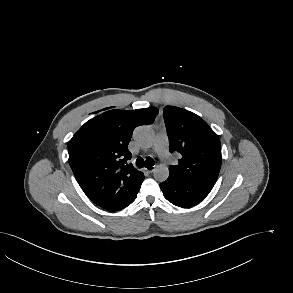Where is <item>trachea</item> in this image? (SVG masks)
Here are the masks:
<instances>
[{
  "mask_svg": "<svg viewBox=\"0 0 293 293\" xmlns=\"http://www.w3.org/2000/svg\"><path fill=\"white\" fill-rule=\"evenodd\" d=\"M154 163L155 162L151 157H148L146 160H144L142 157H139L136 160V166L139 167V168H142L145 165L152 166V165H154Z\"/></svg>",
  "mask_w": 293,
  "mask_h": 293,
  "instance_id": "obj_1",
  "label": "trachea"
}]
</instances>
